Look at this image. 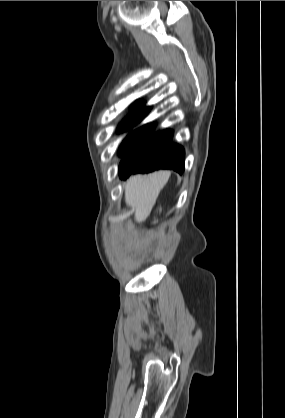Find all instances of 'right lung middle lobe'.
I'll return each mask as SVG.
<instances>
[{
    "mask_svg": "<svg viewBox=\"0 0 285 418\" xmlns=\"http://www.w3.org/2000/svg\"><path fill=\"white\" fill-rule=\"evenodd\" d=\"M149 108L143 107V105H136L133 113H131L122 123L119 125V132L128 130L139 123L148 113ZM154 125L148 127L144 125L127 135L120 148L119 155L123 156L133 150L147 137L151 135Z\"/></svg>",
    "mask_w": 285,
    "mask_h": 418,
    "instance_id": "1",
    "label": "right lung middle lobe"
}]
</instances>
